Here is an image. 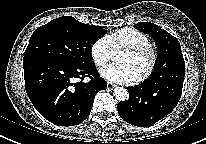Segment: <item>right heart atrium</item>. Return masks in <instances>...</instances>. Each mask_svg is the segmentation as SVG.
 Instances as JSON below:
<instances>
[{"label": "right heart atrium", "mask_w": 206, "mask_h": 144, "mask_svg": "<svg viewBox=\"0 0 206 144\" xmlns=\"http://www.w3.org/2000/svg\"><path fill=\"white\" fill-rule=\"evenodd\" d=\"M112 48L106 37H100L90 46V55L96 66L105 65L111 57Z\"/></svg>", "instance_id": "d8ad5b80"}]
</instances>
